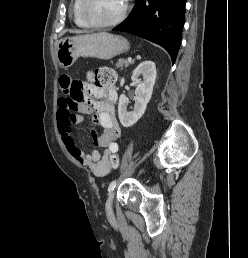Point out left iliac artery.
Returning a JSON list of instances; mask_svg holds the SVG:
<instances>
[{
	"label": "left iliac artery",
	"mask_w": 248,
	"mask_h": 258,
	"mask_svg": "<svg viewBox=\"0 0 248 258\" xmlns=\"http://www.w3.org/2000/svg\"><path fill=\"white\" fill-rule=\"evenodd\" d=\"M116 186V180L112 181L108 187V191L111 192Z\"/></svg>",
	"instance_id": "1"
}]
</instances>
